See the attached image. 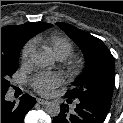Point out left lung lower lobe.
<instances>
[{
	"mask_svg": "<svg viewBox=\"0 0 123 123\" xmlns=\"http://www.w3.org/2000/svg\"><path fill=\"white\" fill-rule=\"evenodd\" d=\"M79 101L80 102L77 104L75 112L73 113L69 112L68 105L62 104L61 111L59 115L53 120V123L104 122L111 106L89 99H79Z\"/></svg>",
	"mask_w": 123,
	"mask_h": 123,
	"instance_id": "0a47b994",
	"label": "left lung lower lobe"
}]
</instances>
